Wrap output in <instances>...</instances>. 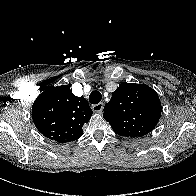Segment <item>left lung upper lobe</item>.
Returning <instances> with one entry per match:
<instances>
[{"mask_svg": "<svg viewBox=\"0 0 196 196\" xmlns=\"http://www.w3.org/2000/svg\"><path fill=\"white\" fill-rule=\"evenodd\" d=\"M161 112V102L151 87L124 82L112 93L103 117L116 134L142 137L155 128Z\"/></svg>", "mask_w": 196, "mask_h": 196, "instance_id": "1", "label": "left lung upper lobe"}]
</instances>
